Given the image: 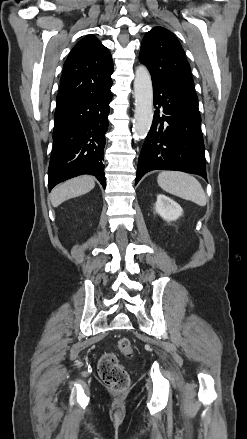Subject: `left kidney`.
<instances>
[{
    "label": "left kidney",
    "mask_w": 247,
    "mask_h": 439,
    "mask_svg": "<svg viewBox=\"0 0 247 439\" xmlns=\"http://www.w3.org/2000/svg\"><path fill=\"white\" fill-rule=\"evenodd\" d=\"M155 212L165 221L170 222L178 219L183 214L181 206L171 198L159 194L155 204Z\"/></svg>",
    "instance_id": "5707ae66"
}]
</instances>
